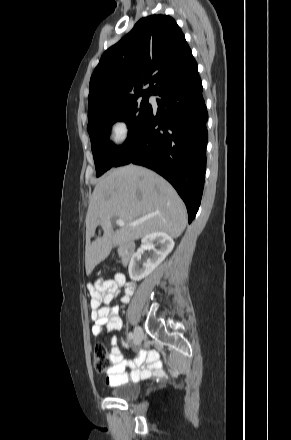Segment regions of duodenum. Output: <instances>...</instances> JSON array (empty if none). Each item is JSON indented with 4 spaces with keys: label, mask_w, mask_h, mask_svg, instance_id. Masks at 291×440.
Segmentation results:
<instances>
[{
    "label": "duodenum",
    "mask_w": 291,
    "mask_h": 440,
    "mask_svg": "<svg viewBox=\"0 0 291 440\" xmlns=\"http://www.w3.org/2000/svg\"><path fill=\"white\" fill-rule=\"evenodd\" d=\"M114 248H120L121 257L123 262H129L132 259V256L135 251V245L132 241L123 240L118 244L114 245Z\"/></svg>",
    "instance_id": "duodenum-1"
}]
</instances>
